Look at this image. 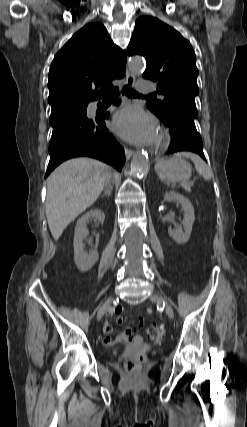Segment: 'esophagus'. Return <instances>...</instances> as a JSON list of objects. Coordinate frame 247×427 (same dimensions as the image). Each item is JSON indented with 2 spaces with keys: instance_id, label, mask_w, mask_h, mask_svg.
<instances>
[{
  "instance_id": "esophagus-1",
  "label": "esophagus",
  "mask_w": 247,
  "mask_h": 427,
  "mask_svg": "<svg viewBox=\"0 0 247 427\" xmlns=\"http://www.w3.org/2000/svg\"><path fill=\"white\" fill-rule=\"evenodd\" d=\"M126 83L129 86H133L134 83H135V77H134V75L132 73L129 72L128 69L126 70ZM133 154H134L133 150H131V149H125V156H126L127 160H129L132 157Z\"/></svg>"
}]
</instances>
